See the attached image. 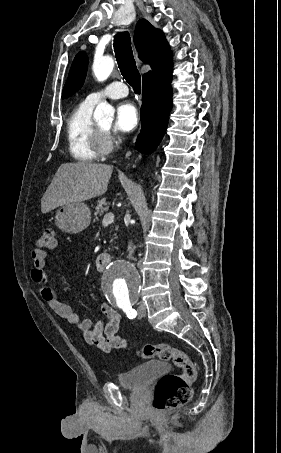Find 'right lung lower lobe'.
I'll return each mask as SVG.
<instances>
[{"instance_id":"right-lung-lower-lobe-1","label":"right lung lower lobe","mask_w":281,"mask_h":453,"mask_svg":"<svg viewBox=\"0 0 281 453\" xmlns=\"http://www.w3.org/2000/svg\"><path fill=\"white\" fill-rule=\"evenodd\" d=\"M171 75V56L143 75L142 129L136 141L140 152L154 151L165 134L172 108Z\"/></svg>"}]
</instances>
